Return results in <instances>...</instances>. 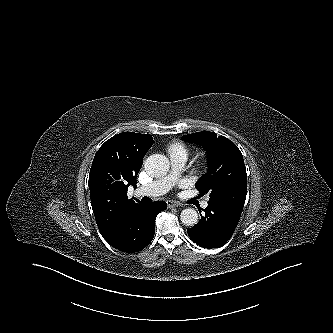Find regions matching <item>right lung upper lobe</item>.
Returning <instances> with one entry per match:
<instances>
[{
	"instance_id": "1",
	"label": "right lung upper lobe",
	"mask_w": 333,
	"mask_h": 333,
	"mask_svg": "<svg viewBox=\"0 0 333 333\" xmlns=\"http://www.w3.org/2000/svg\"><path fill=\"white\" fill-rule=\"evenodd\" d=\"M152 144L151 135L124 132L108 139L94 157L88 183L96 223L105 240L125 212L140 203L128 199L127 189L136 188L143 157Z\"/></svg>"
}]
</instances>
